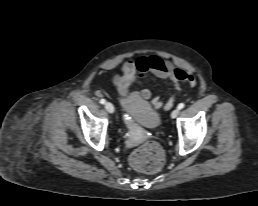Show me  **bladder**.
Listing matches in <instances>:
<instances>
[{"mask_svg": "<svg viewBox=\"0 0 258 206\" xmlns=\"http://www.w3.org/2000/svg\"><path fill=\"white\" fill-rule=\"evenodd\" d=\"M122 110L141 126L154 129L160 125L161 115L139 93L131 92L120 99Z\"/></svg>", "mask_w": 258, "mask_h": 206, "instance_id": "obj_1", "label": "bladder"}]
</instances>
